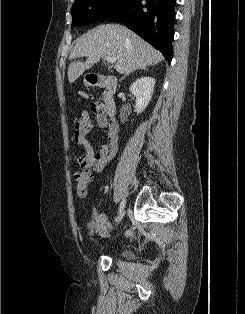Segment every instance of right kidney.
Wrapping results in <instances>:
<instances>
[{
    "label": "right kidney",
    "mask_w": 245,
    "mask_h": 314,
    "mask_svg": "<svg viewBox=\"0 0 245 314\" xmlns=\"http://www.w3.org/2000/svg\"><path fill=\"white\" fill-rule=\"evenodd\" d=\"M155 86V79L152 77H142L136 80L129 88L136 97V112L142 113L151 101Z\"/></svg>",
    "instance_id": "obj_1"
}]
</instances>
